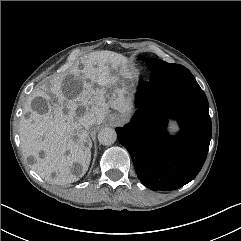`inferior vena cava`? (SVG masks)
<instances>
[{"mask_svg": "<svg viewBox=\"0 0 241 241\" xmlns=\"http://www.w3.org/2000/svg\"><path fill=\"white\" fill-rule=\"evenodd\" d=\"M95 115L91 112H86L84 115L79 119V124L84 128L88 129L93 124H95Z\"/></svg>", "mask_w": 241, "mask_h": 241, "instance_id": "inferior-vena-cava-1", "label": "inferior vena cava"}]
</instances>
